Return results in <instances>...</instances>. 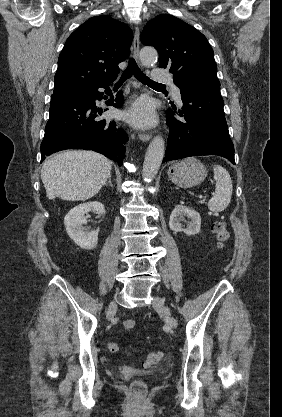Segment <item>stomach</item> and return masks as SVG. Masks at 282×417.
Segmentation results:
<instances>
[{
    "label": "stomach",
    "instance_id": "0dacf381",
    "mask_svg": "<svg viewBox=\"0 0 282 417\" xmlns=\"http://www.w3.org/2000/svg\"><path fill=\"white\" fill-rule=\"evenodd\" d=\"M206 174L207 170L204 164L197 158H194V156L178 160V162H174L168 168L170 180L177 186H181V188H191V186L200 184Z\"/></svg>",
    "mask_w": 282,
    "mask_h": 417
}]
</instances>
